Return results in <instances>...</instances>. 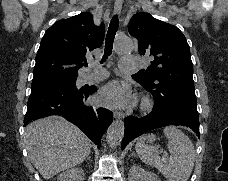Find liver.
I'll list each match as a JSON object with an SVG mask.
<instances>
[{"mask_svg":"<svg viewBox=\"0 0 228 181\" xmlns=\"http://www.w3.org/2000/svg\"><path fill=\"white\" fill-rule=\"evenodd\" d=\"M28 157L45 181L80 165L90 155L91 141L63 117H46L25 127Z\"/></svg>","mask_w":228,"mask_h":181,"instance_id":"obj_1","label":"liver"}]
</instances>
